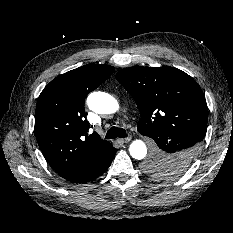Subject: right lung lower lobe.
Returning a JSON list of instances; mask_svg holds the SVG:
<instances>
[{"label":"right lung lower lobe","instance_id":"98d812e1","mask_svg":"<svg viewBox=\"0 0 233 233\" xmlns=\"http://www.w3.org/2000/svg\"><path fill=\"white\" fill-rule=\"evenodd\" d=\"M115 153L116 149L111 146L102 158L91 160L84 165L72 169L63 176V178L73 183L92 181L107 170L115 156Z\"/></svg>","mask_w":233,"mask_h":233}]
</instances>
